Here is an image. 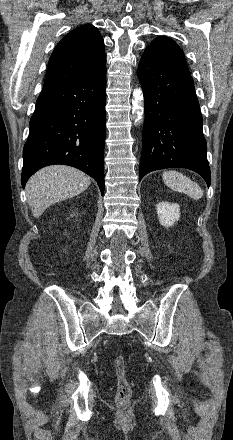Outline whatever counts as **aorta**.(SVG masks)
<instances>
[{
    "label": "aorta",
    "mask_w": 233,
    "mask_h": 440,
    "mask_svg": "<svg viewBox=\"0 0 233 440\" xmlns=\"http://www.w3.org/2000/svg\"><path fill=\"white\" fill-rule=\"evenodd\" d=\"M132 107L135 123L140 125L144 120V99L140 88L134 90Z\"/></svg>",
    "instance_id": "obj_1"
}]
</instances>
